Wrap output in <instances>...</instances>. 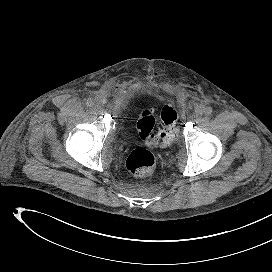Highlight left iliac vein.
<instances>
[{
  "instance_id": "4c4485c4",
  "label": "left iliac vein",
  "mask_w": 272,
  "mask_h": 272,
  "mask_svg": "<svg viewBox=\"0 0 272 272\" xmlns=\"http://www.w3.org/2000/svg\"><path fill=\"white\" fill-rule=\"evenodd\" d=\"M195 112V115L192 117L194 120L199 119L203 115L204 107L202 105L197 106Z\"/></svg>"
}]
</instances>
